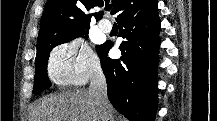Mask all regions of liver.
I'll return each mask as SVG.
<instances>
[{
	"label": "liver",
	"instance_id": "6515ba94",
	"mask_svg": "<svg viewBox=\"0 0 217 121\" xmlns=\"http://www.w3.org/2000/svg\"><path fill=\"white\" fill-rule=\"evenodd\" d=\"M112 115L113 107L110 105ZM30 121H103L89 91L77 90L45 97L32 111Z\"/></svg>",
	"mask_w": 217,
	"mask_h": 121
}]
</instances>
